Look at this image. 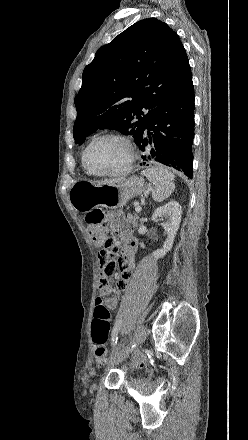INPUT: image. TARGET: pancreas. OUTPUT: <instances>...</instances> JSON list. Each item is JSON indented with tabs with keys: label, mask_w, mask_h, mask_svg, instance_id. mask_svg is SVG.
<instances>
[{
	"label": "pancreas",
	"mask_w": 248,
	"mask_h": 440,
	"mask_svg": "<svg viewBox=\"0 0 248 440\" xmlns=\"http://www.w3.org/2000/svg\"><path fill=\"white\" fill-rule=\"evenodd\" d=\"M127 218H128V221L132 224V226L134 228L138 227V219H139L138 213H135V214L130 213V214H128Z\"/></svg>",
	"instance_id": "cf45deb5"
}]
</instances>
